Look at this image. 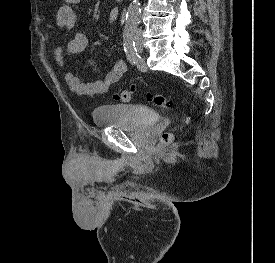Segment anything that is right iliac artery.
Masks as SVG:
<instances>
[{"label":"right iliac artery","instance_id":"obj_1","mask_svg":"<svg viewBox=\"0 0 275 263\" xmlns=\"http://www.w3.org/2000/svg\"><path fill=\"white\" fill-rule=\"evenodd\" d=\"M123 38V45L127 58L132 64L135 65L138 62L139 55L137 53V48L134 41V30L132 28H125Z\"/></svg>","mask_w":275,"mask_h":263}]
</instances>
